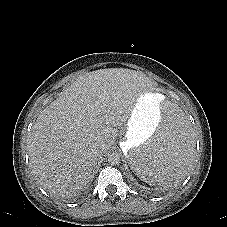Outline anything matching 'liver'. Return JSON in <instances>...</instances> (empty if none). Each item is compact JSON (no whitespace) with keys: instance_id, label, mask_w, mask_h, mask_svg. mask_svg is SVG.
<instances>
[{"instance_id":"6515ba94","label":"liver","mask_w":227,"mask_h":227,"mask_svg":"<svg viewBox=\"0 0 227 227\" xmlns=\"http://www.w3.org/2000/svg\"><path fill=\"white\" fill-rule=\"evenodd\" d=\"M145 82L134 70L92 71L42 110L29 132L28 151L32 173L47 192L71 197L88 187L101 155L96 146L105 144L106 152L115 143Z\"/></svg>"}]
</instances>
